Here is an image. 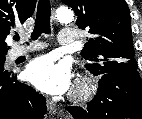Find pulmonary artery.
<instances>
[{"label":"pulmonary artery","instance_id":"1","mask_svg":"<svg viewBox=\"0 0 142 119\" xmlns=\"http://www.w3.org/2000/svg\"><path fill=\"white\" fill-rule=\"evenodd\" d=\"M75 40L76 36L72 30L68 28H62L60 30L59 39H58L60 45L69 46L74 44ZM39 48L40 44H34L30 47H20V46L13 47L9 52V59L14 60L24 54H27L32 50H37Z\"/></svg>","mask_w":142,"mask_h":119}]
</instances>
